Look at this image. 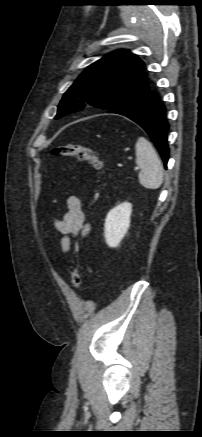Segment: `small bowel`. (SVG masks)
Listing matches in <instances>:
<instances>
[{"label":"small bowel","mask_w":202,"mask_h":437,"mask_svg":"<svg viewBox=\"0 0 202 437\" xmlns=\"http://www.w3.org/2000/svg\"><path fill=\"white\" fill-rule=\"evenodd\" d=\"M54 227L62 236L60 246L63 253L69 251L72 238L88 234L90 225L86 221L81 200L78 196L68 197L67 211L62 218L54 220Z\"/></svg>","instance_id":"obj_1"}]
</instances>
